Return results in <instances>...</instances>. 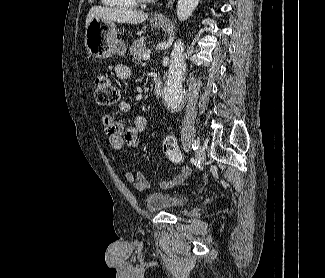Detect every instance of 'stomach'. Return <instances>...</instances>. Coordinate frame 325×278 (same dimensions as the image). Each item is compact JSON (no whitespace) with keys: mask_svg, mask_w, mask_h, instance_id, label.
Masks as SVG:
<instances>
[{"mask_svg":"<svg viewBox=\"0 0 325 278\" xmlns=\"http://www.w3.org/2000/svg\"><path fill=\"white\" fill-rule=\"evenodd\" d=\"M153 28L162 26V21H150ZM117 26L113 21L95 17L85 31V47L89 54L98 59H104L113 54L124 55L126 45L118 39Z\"/></svg>","mask_w":325,"mask_h":278,"instance_id":"0dacf381","label":"stomach"}]
</instances>
